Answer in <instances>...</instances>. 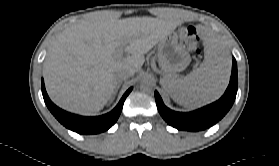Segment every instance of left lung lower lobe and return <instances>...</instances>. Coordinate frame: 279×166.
<instances>
[{
	"mask_svg": "<svg viewBox=\"0 0 279 166\" xmlns=\"http://www.w3.org/2000/svg\"><path fill=\"white\" fill-rule=\"evenodd\" d=\"M238 88L237 64L233 58L230 83L224 95L216 102L198 110L182 113L167 108L160 95L155 91V100L162 118L179 130L200 131L216 124L232 107Z\"/></svg>",
	"mask_w": 279,
	"mask_h": 166,
	"instance_id": "left-lung-lower-lobe-1",
	"label": "left lung lower lobe"
}]
</instances>
